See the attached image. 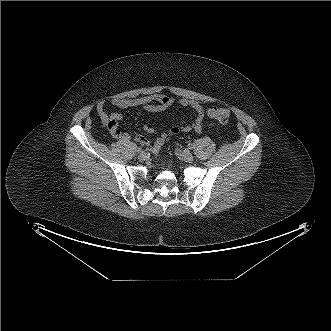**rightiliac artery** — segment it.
Returning <instances> with one entry per match:
<instances>
[{
  "mask_svg": "<svg viewBox=\"0 0 331 331\" xmlns=\"http://www.w3.org/2000/svg\"><path fill=\"white\" fill-rule=\"evenodd\" d=\"M143 151V148L142 147H139L138 148V152H142Z\"/></svg>",
  "mask_w": 331,
  "mask_h": 331,
  "instance_id": "right-iliac-artery-1",
  "label": "right iliac artery"
}]
</instances>
